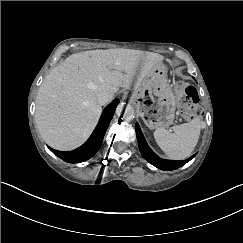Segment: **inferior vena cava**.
<instances>
[{
	"mask_svg": "<svg viewBox=\"0 0 243 243\" xmlns=\"http://www.w3.org/2000/svg\"><path fill=\"white\" fill-rule=\"evenodd\" d=\"M112 98H113V93H110L108 91H101L97 95V100L100 105L107 104L109 101L112 100Z\"/></svg>",
	"mask_w": 243,
	"mask_h": 243,
	"instance_id": "602c4592",
	"label": "inferior vena cava"
}]
</instances>
